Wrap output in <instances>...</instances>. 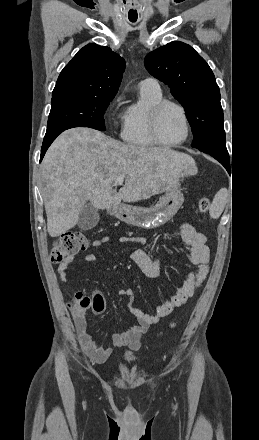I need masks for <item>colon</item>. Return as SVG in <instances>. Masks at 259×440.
Segmentation results:
<instances>
[{
    "label": "colon",
    "instance_id": "obj_1",
    "mask_svg": "<svg viewBox=\"0 0 259 440\" xmlns=\"http://www.w3.org/2000/svg\"><path fill=\"white\" fill-rule=\"evenodd\" d=\"M199 211L206 214L210 208V200L208 197H202L199 200ZM88 239L79 231H68L63 233L55 242L51 250V261L59 263L68 257H74L88 247ZM94 297L91 299L82 292L75 293L72 302L70 303L71 310L77 318L88 309L91 304L94 305Z\"/></svg>",
    "mask_w": 259,
    "mask_h": 440
}]
</instances>
